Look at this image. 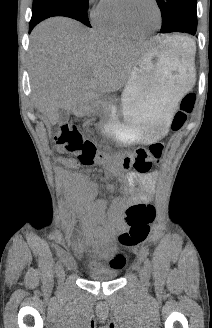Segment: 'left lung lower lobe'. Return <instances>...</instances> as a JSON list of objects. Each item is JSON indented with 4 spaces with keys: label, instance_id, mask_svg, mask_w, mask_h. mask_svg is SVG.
<instances>
[{
    "label": "left lung lower lobe",
    "instance_id": "0a47b994",
    "mask_svg": "<svg viewBox=\"0 0 212 328\" xmlns=\"http://www.w3.org/2000/svg\"><path fill=\"white\" fill-rule=\"evenodd\" d=\"M184 33H188V34H191V35H195L196 30H195V31H184Z\"/></svg>",
    "mask_w": 212,
    "mask_h": 328
}]
</instances>
